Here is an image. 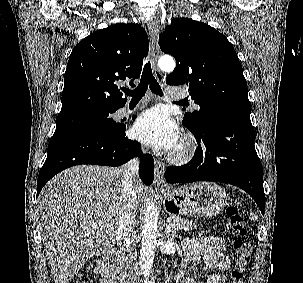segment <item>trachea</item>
Wrapping results in <instances>:
<instances>
[{
	"instance_id": "obj_1",
	"label": "trachea",
	"mask_w": 303,
	"mask_h": 283,
	"mask_svg": "<svg viewBox=\"0 0 303 283\" xmlns=\"http://www.w3.org/2000/svg\"><path fill=\"white\" fill-rule=\"evenodd\" d=\"M148 87L154 94L163 96L162 89L155 77L153 76L151 64L149 61L145 64L143 68V73L138 87L134 90H126L125 93L127 95L132 96L131 101H139L145 95ZM179 102L183 103L184 101Z\"/></svg>"
}]
</instances>
